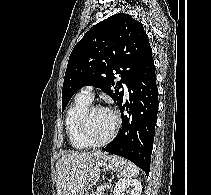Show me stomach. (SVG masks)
Instances as JSON below:
<instances>
[{
    "mask_svg": "<svg viewBox=\"0 0 211 195\" xmlns=\"http://www.w3.org/2000/svg\"><path fill=\"white\" fill-rule=\"evenodd\" d=\"M126 167V160L117 155H106L99 160V165L90 173L89 184H95L100 175V168L107 172H118ZM82 195H86L84 192Z\"/></svg>",
    "mask_w": 211,
    "mask_h": 195,
    "instance_id": "0dacf381",
    "label": "stomach"
}]
</instances>
